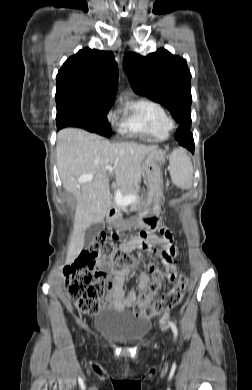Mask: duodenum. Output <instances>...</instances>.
<instances>
[{
    "mask_svg": "<svg viewBox=\"0 0 252 390\" xmlns=\"http://www.w3.org/2000/svg\"><path fill=\"white\" fill-rule=\"evenodd\" d=\"M118 217V212L115 207H111L108 209V218L110 225H114L116 223Z\"/></svg>",
    "mask_w": 252,
    "mask_h": 390,
    "instance_id": "obj_1",
    "label": "duodenum"
}]
</instances>
